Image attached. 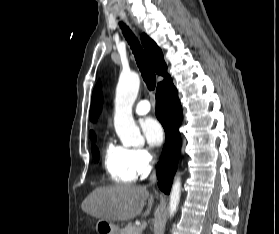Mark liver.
I'll list each match as a JSON object with an SVG mask.
<instances>
[{
	"instance_id": "1",
	"label": "liver",
	"mask_w": 279,
	"mask_h": 234,
	"mask_svg": "<svg viewBox=\"0 0 279 234\" xmlns=\"http://www.w3.org/2000/svg\"><path fill=\"white\" fill-rule=\"evenodd\" d=\"M148 209L143 214L149 215L154 196L149 194L146 186L114 185L99 187L92 191L82 202V210L97 219L106 221H127L140 215L145 201Z\"/></svg>"
}]
</instances>
